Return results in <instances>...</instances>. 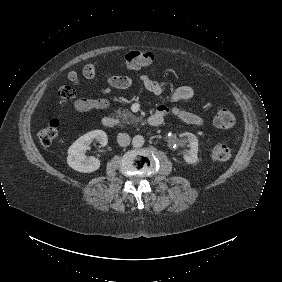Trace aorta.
<instances>
[{
  "instance_id": "obj_1",
  "label": "aorta",
  "mask_w": 282,
  "mask_h": 282,
  "mask_svg": "<svg viewBox=\"0 0 282 282\" xmlns=\"http://www.w3.org/2000/svg\"><path fill=\"white\" fill-rule=\"evenodd\" d=\"M145 143V139L142 135H136L132 139V145L135 148H141Z\"/></svg>"
}]
</instances>
